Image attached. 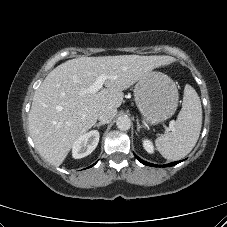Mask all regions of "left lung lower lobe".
<instances>
[{
  "label": "left lung lower lobe",
  "mask_w": 227,
  "mask_h": 227,
  "mask_svg": "<svg viewBox=\"0 0 227 227\" xmlns=\"http://www.w3.org/2000/svg\"><path fill=\"white\" fill-rule=\"evenodd\" d=\"M135 155V154H134ZM136 156V155H135ZM136 158L141 162L143 163L144 165H147V166H154V167H170V166H174L176 165L177 163L181 162V161H177V162H172V163H169V164H166V165H155V164H151L149 162H146L142 159H140L138 156H136Z\"/></svg>",
  "instance_id": "1"
}]
</instances>
